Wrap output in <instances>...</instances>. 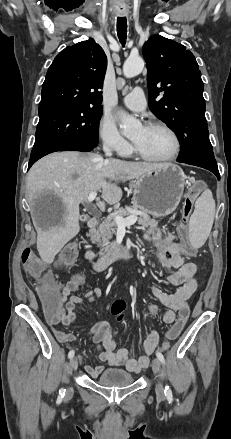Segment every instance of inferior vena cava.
<instances>
[{"instance_id":"inferior-vena-cava-1","label":"inferior vena cava","mask_w":231,"mask_h":439,"mask_svg":"<svg viewBox=\"0 0 231 439\" xmlns=\"http://www.w3.org/2000/svg\"><path fill=\"white\" fill-rule=\"evenodd\" d=\"M103 150H104L106 156L110 157L112 155L110 148L107 147L106 145H104Z\"/></svg>"}]
</instances>
